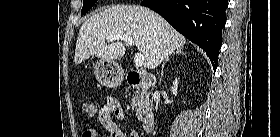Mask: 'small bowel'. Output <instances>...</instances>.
<instances>
[{
	"instance_id": "small-bowel-1",
	"label": "small bowel",
	"mask_w": 280,
	"mask_h": 137,
	"mask_svg": "<svg viewBox=\"0 0 280 137\" xmlns=\"http://www.w3.org/2000/svg\"><path fill=\"white\" fill-rule=\"evenodd\" d=\"M113 118L124 120L125 114L118 99L114 96H109L98 114L101 129H87L83 137H88L87 135L89 134L91 135L90 137H124L123 132ZM131 137H137V134L132 133Z\"/></svg>"
}]
</instances>
